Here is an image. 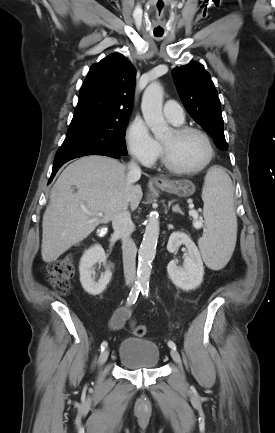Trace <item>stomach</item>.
Masks as SVG:
<instances>
[{"label": "stomach", "instance_id": "1", "mask_svg": "<svg viewBox=\"0 0 275 433\" xmlns=\"http://www.w3.org/2000/svg\"><path fill=\"white\" fill-rule=\"evenodd\" d=\"M156 187L179 197H190L195 192V185L189 180L171 181L166 185L156 184Z\"/></svg>", "mask_w": 275, "mask_h": 433}]
</instances>
